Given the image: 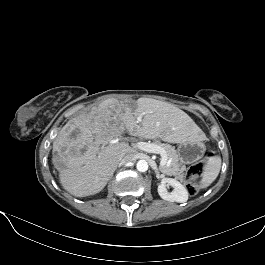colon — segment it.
I'll list each match as a JSON object with an SVG mask.
<instances>
[{
    "label": "colon",
    "instance_id": "colon-1",
    "mask_svg": "<svg viewBox=\"0 0 265 265\" xmlns=\"http://www.w3.org/2000/svg\"><path fill=\"white\" fill-rule=\"evenodd\" d=\"M205 161L192 165L186 174L187 189L190 195L196 194L199 185V178L203 171Z\"/></svg>",
    "mask_w": 265,
    "mask_h": 265
}]
</instances>
